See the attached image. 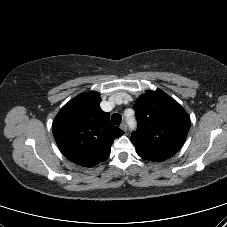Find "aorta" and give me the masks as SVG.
Here are the masks:
<instances>
[{
    "mask_svg": "<svg viewBox=\"0 0 227 227\" xmlns=\"http://www.w3.org/2000/svg\"><path fill=\"white\" fill-rule=\"evenodd\" d=\"M127 122L131 128L136 126V122H135L134 118L127 117Z\"/></svg>",
    "mask_w": 227,
    "mask_h": 227,
    "instance_id": "762f6f07",
    "label": "aorta"
}]
</instances>
